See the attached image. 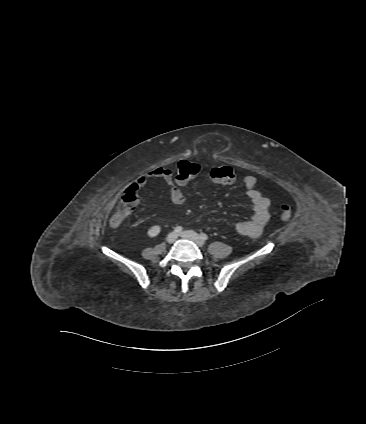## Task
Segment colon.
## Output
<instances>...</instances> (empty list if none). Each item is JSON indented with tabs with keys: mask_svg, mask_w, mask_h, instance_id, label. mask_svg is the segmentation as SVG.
I'll use <instances>...</instances> for the list:
<instances>
[{
	"mask_svg": "<svg viewBox=\"0 0 366 424\" xmlns=\"http://www.w3.org/2000/svg\"><path fill=\"white\" fill-rule=\"evenodd\" d=\"M200 166L196 163L182 160L175 166V178L179 183H186L200 174ZM209 176L215 182L232 183L235 179L233 170L224 171L221 166L214 167L210 170ZM138 196L136 189L131 187L122 196L116 212L110 219L113 227L119 226L125 218H127L136 209ZM279 217L281 221L287 222L291 218L292 210L287 204H282L279 209Z\"/></svg>",
	"mask_w": 366,
	"mask_h": 424,
	"instance_id": "1",
	"label": "colon"
}]
</instances>
